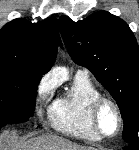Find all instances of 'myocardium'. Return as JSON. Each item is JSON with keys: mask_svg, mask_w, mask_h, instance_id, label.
Masks as SVG:
<instances>
[{"mask_svg": "<svg viewBox=\"0 0 139 150\" xmlns=\"http://www.w3.org/2000/svg\"><path fill=\"white\" fill-rule=\"evenodd\" d=\"M105 104H108L113 108V110L116 114V117H117L118 126H117L116 132L113 135H107V134L103 133V131L101 130V128L99 126V120H98L99 113H100L102 106ZM89 118H90V122H91L93 130L101 138H105V139L115 138L121 132V129L123 126V118H122L120 108L117 105V103L109 97L99 96L92 102V104L90 106V110H89Z\"/></svg>", "mask_w": 139, "mask_h": 150, "instance_id": "myocardium-1", "label": "myocardium"}]
</instances>
